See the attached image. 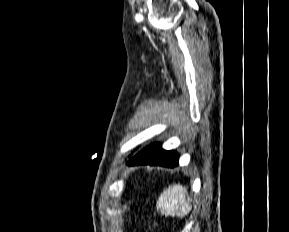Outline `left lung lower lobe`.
<instances>
[{
  "instance_id": "0a47b994",
  "label": "left lung lower lobe",
  "mask_w": 289,
  "mask_h": 232,
  "mask_svg": "<svg viewBox=\"0 0 289 232\" xmlns=\"http://www.w3.org/2000/svg\"><path fill=\"white\" fill-rule=\"evenodd\" d=\"M128 165H160L165 167H175L178 165V154L175 151H165L160 144H152L134 158H132Z\"/></svg>"
}]
</instances>
